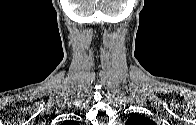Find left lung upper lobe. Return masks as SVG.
Wrapping results in <instances>:
<instances>
[{
	"instance_id": "left-lung-upper-lobe-1",
	"label": "left lung upper lobe",
	"mask_w": 196,
	"mask_h": 125,
	"mask_svg": "<svg viewBox=\"0 0 196 125\" xmlns=\"http://www.w3.org/2000/svg\"><path fill=\"white\" fill-rule=\"evenodd\" d=\"M127 125H154V122L142 115L133 114L127 120Z\"/></svg>"
}]
</instances>
